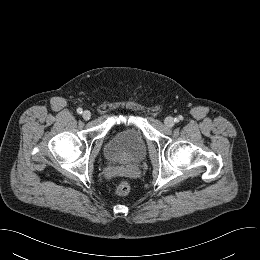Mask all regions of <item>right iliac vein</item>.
I'll use <instances>...</instances> for the list:
<instances>
[{
  "mask_svg": "<svg viewBox=\"0 0 260 260\" xmlns=\"http://www.w3.org/2000/svg\"><path fill=\"white\" fill-rule=\"evenodd\" d=\"M82 117L85 119V120H89L90 117H91V112L88 111V110H85L82 114Z\"/></svg>",
  "mask_w": 260,
  "mask_h": 260,
  "instance_id": "obj_1",
  "label": "right iliac vein"
}]
</instances>
